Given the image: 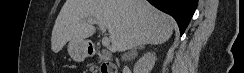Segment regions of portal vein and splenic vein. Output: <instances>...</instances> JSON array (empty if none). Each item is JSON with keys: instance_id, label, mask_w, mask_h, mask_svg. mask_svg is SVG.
I'll return each mask as SVG.
<instances>
[{"instance_id": "18ae733b", "label": "portal vein and splenic vein", "mask_w": 244, "mask_h": 73, "mask_svg": "<svg viewBox=\"0 0 244 73\" xmlns=\"http://www.w3.org/2000/svg\"><path fill=\"white\" fill-rule=\"evenodd\" d=\"M87 22L89 24H97L99 26L100 30L102 31V33L105 34L106 28H105V25L104 24L98 22L95 19H88ZM102 45L104 47H109V45H110V39L106 35H104V37L102 39Z\"/></svg>"}]
</instances>
